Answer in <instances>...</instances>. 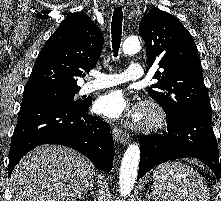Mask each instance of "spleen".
I'll return each instance as SVG.
<instances>
[{"instance_id": "obj_1", "label": "spleen", "mask_w": 221, "mask_h": 201, "mask_svg": "<svg viewBox=\"0 0 221 201\" xmlns=\"http://www.w3.org/2000/svg\"><path fill=\"white\" fill-rule=\"evenodd\" d=\"M153 195L159 201H210L203 178L180 161L166 162L154 170Z\"/></svg>"}]
</instances>
